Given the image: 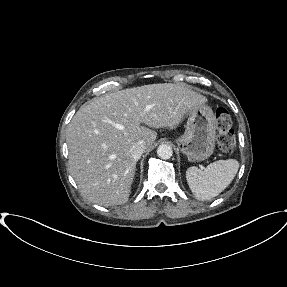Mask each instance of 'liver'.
Masks as SVG:
<instances>
[{"mask_svg":"<svg viewBox=\"0 0 287 287\" xmlns=\"http://www.w3.org/2000/svg\"><path fill=\"white\" fill-rule=\"evenodd\" d=\"M205 103L203 95L185 84L159 83L108 93L82 105L66 134L69 170L82 196L106 207L126 203L136 169L131 147L142 142L149 151L157 137L150 128H174Z\"/></svg>","mask_w":287,"mask_h":287,"instance_id":"6515ba94","label":"liver"}]
</instances>
